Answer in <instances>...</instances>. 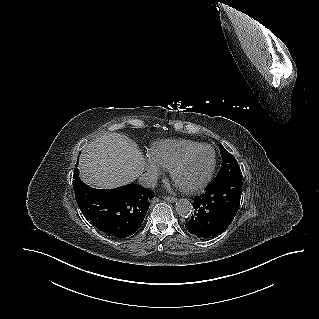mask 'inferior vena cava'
Instances as JSON below:
<instances>
[{"mask_svg": "<svg viewBox=\"0 0 319 319\" xmlns=\"http://www.w3.org/2000/svg\"><path fill=\"white\" fill-rule=\"evenodd\" d=\"M139 182L145 188H154L157 185V177L152 173H144Z\"/></svg>", "mask_w": 319, "mask_h": 319, "instance_id": "1", "label": "inferior vena cava"}]
</instances>
